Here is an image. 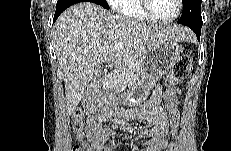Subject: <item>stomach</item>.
<instances>
[{
    "label": "stomach",
    "mask_w": 231,
    "mask_h": 151,
    "mask_svg": "<svg viewBox=\"0 0 231 151\" xmlns=\"http://www.w3.org/2000/svg\"><path fill=\"white\" fill-rule=\"evenodd\" d=\"M183 52L177 41L152 47L140 60V78L130 85L125 100L139 104L146 100L155 83L180 59Z\"/></svg>",
    "instance_id": "obj_1"
}]
</instances>
